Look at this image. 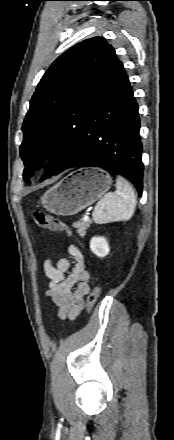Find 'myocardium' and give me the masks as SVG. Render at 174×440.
<instances>
[{"label": "myocardium", "instance_id": "1", "mask_svg": "<svg viewBox=\"0 0 174 440\" xmlns=\"http://www.w3.org/2000/svg\"><path fill=\"white\" fill-rule=\"evenodd\" d=\"M51 153L53 154V153H54V150H52Z\"/></svg>", "mask_w": 174, "mask_h": 440}]
</instances>
